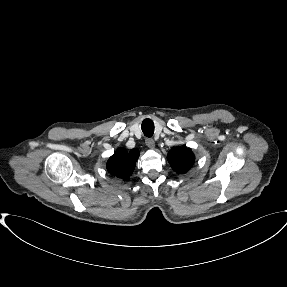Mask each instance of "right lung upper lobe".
<instances>
[{
    "mask_svg": "<svg viewBox=\"0 0 287 287\" xmlns=\"http://www.w3.org/2000/svg\"><path fill=\"white\" fill-rule=\"evenodd\" d=\"M138 157L139 151L136 149L127 152L124 148H118L109 158L107 170L111 175L127 180L133 173Z\"/></svg>",
    "mask_w": 287,
    "mask_h": 287,
    "instance_id": "cb5924a9",
    "label": "right lung upper lobe"
}]
</instances>
